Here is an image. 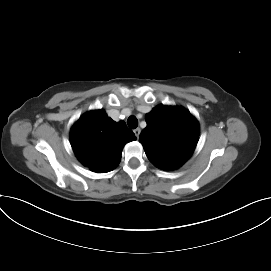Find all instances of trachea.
I'll list each match as a JSON object with an SVG mask.
<instances>
[{"label":"trachea","instance_id":"1","mask_svg":"<svg viewBox=\"0 0 271 271\" xmlns=\"http://www.w3.org/2000/svg\"><path fill=\"white\" fill-rule=\"evenodd\" d=\"M127 124L131 129H135L138 126V120L135 116H130L127 120Z\"/></svg>","mask_w":271,"mask_h":271}]
</instances>
